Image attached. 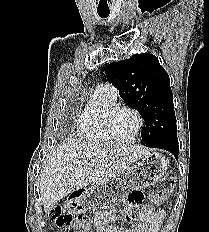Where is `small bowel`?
<instances>
[{
	"instance_id": "c3829d8e",
	"label": "small bowel",
	"mask_w": 209,
	"mask_h": 232,
	"mask_svg": "<svg viewBox=\"0 0 209 232\" xmlns=\"http://www.w3.org/2000/svg\"><path fill=\"white\" fill-rule=\"evenodd\" d=\"M145 199H147L146 190H129V194H126L125 213H138L136 217L138 224L135 227H111L108 224L111 215L107 213L98 216L93 222L83 221L80 232H90L92 226L97 232H159L165 212L152 204L143 206L138 212Z\"/></svg>"
}]
</instances>
